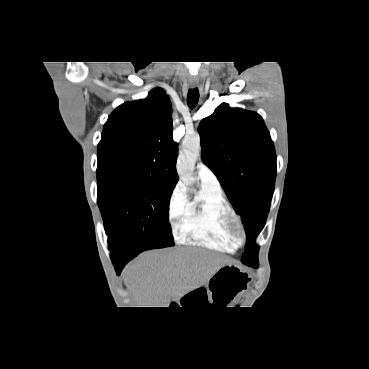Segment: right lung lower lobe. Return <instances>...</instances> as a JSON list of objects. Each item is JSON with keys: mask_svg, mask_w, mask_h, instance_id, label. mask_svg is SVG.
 Masks as SVG:
<instances>
[{"mask_svg": "<svg viewBox=\"0 0 369 369\" xmlns=\"http://www.w3.org/2000/svg\"><path fill=\"white\" fill-rule=\"evenodd\" d=\"M110 251L111 257L116 265V272L118 274L129 260H131L132 258H134L139 254L136 252H132L130 249L124 247L112 249Z\"/></svg>", "mask_w": 369, "mask_h": 369, "instance_id": "98d812e1", "label": "right lung lower lobe"}]
</instances>
